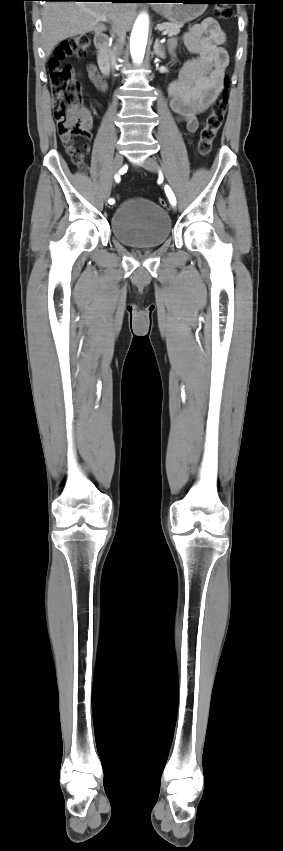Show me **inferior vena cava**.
I'll return each instance as SVG.
<instances>
[{
    "instance_id": "inferior-vena-cava-1",
    "label": "inferior vena cava",
    "mask_w": 283,
    "mask_h": 851,
    "mask_svg": "<svg viewBox=\"0 0 283 851\" xmlns=\"http://www.w3.org/2000/svg\"><path fill=\"white\" fill-rule=\"evenodd\" d=\"M114 32L117 35V39H116L115 47L113 48V50L111 52V64H112L113 68L117 64L116 61L118 59V56H119V54L122 50L123 44H124L125 39H126V31L125 30L117 29Z\"/></svg>"
}]
</instances>
